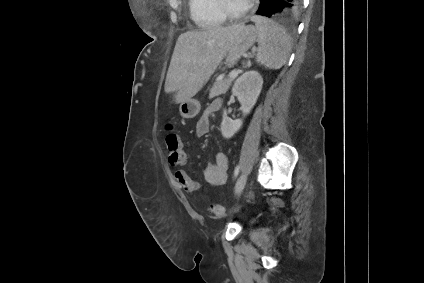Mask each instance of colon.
<instances>
[{"mask_svg":"<svg viewBox=\"0 0 424 283\" xmlns=\"http://www.w3.org/2000/svg\"><path fill=\"white\" fill-rule=\"evenodd\" d=\"M166 130H167V134L165 137L166 148L168 151H172V150L175 151L174 154L178 155V152L176 151H180L181 147L183 146L182 141L180 137L173 131L172 125L170 124L167 125ZM169 147L171 150L169 149ZM176 161H178L177 156L172 158V163ZM210 211L219 218L226 216V210L224 209V207L218 204H212L210 206Z\"/></svg>","mask_w":424,"mask_h":283,"instance_id":"1","label":"colon"}]
</instances>
